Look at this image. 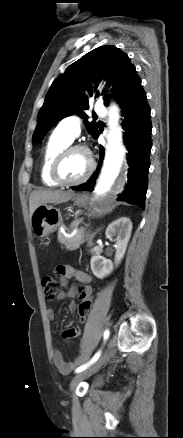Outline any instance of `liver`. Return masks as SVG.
Listing matches in <instances>:
<instances>
[{"label": "liver", "instance_id": "obj_1", "mask_svg": "<svg viewBox=\"0 0 183 438\" xmlns=\"http://www.w3.org/2000/svg\"><path fill=\"white\" fill-rule=\"evenodd\" d=\"M75 196L71 190H37L33 191L29 199L30 217L40 205L44 204H61L69 201Z\"/></svg>", "mask_w": 183, "mask_h": 438}]
</instances>
